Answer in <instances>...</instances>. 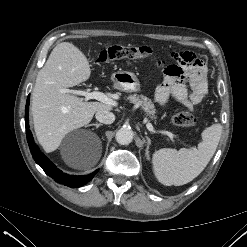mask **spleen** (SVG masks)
Returning <instances> with one entry per match:
<instances>
[{
  "label": "spleen",
  "mask_w": 247,
  "mask_h": 247,
  "mask_svg": "<svg viewBox=\"0 0 247 247\" xmlns=\"http://www.w3.org/2000/svg\"><path fill=\"white\" fill-rule=\"evenodd\" d=\"M221 133L222 126L213 124L202 132V141L197 148H181L178 151L163 148L154 152L152 167L157 180L166 186H181L191 182L211 160Z\"/></svg>",
  "instance_id": "1"
}]
</instances>
